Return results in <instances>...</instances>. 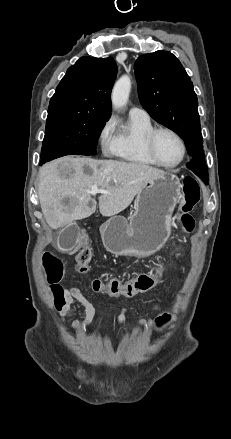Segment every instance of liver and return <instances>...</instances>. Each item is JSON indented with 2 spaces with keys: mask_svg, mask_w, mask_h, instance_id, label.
I'll return each instance as SVG.
<instances>
[{
  "mask_svg": "<svg viewBox=\"0 0 231 439\" xmlns=\"http://www.w3.org/2000/svg\"><path fill=\"white\" fill-rule=\"evenodd\" d=\"M164 171L139 163L65 156L39 170L38 197L52 229L66 228L96 211L93 185L110 194L99 196V211L114 216L125 210L141 189Z\"/></svg>",
  "mask_w": 231,
  "mask_h": 439,
  "instance_id": "1",
  "label": "liver"
}]
</instances>
